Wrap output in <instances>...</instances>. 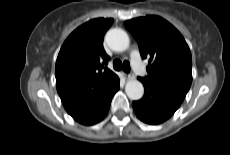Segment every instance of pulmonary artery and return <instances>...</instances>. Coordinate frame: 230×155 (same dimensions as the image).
<instances>
[{
	"mask_svg": "<svg viewBox=\"0 0 230 155\" xmlns=\"http://www.w3.org/2000/svg\"><path fill=\"white\" fill-rule=\"evenodd\" d=\"M130 61H131V65H132L133 70L137 74H139L141 76L147 75V70H146L145 66L143 65L140 53L137 49H134L131 52Z\"/></svg>",
	"mask_w": 230,
	"mask_h": 155,
	"instance_id": "obj_1",
	"label": "pulmonary artery"
}]
</instances>
